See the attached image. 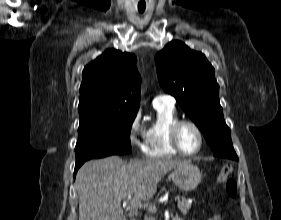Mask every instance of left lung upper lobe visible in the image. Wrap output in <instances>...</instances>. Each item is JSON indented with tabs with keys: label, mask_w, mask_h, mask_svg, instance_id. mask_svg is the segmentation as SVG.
<instances>
[{
	"label": "left lung upper lobe",
	"mask_w": 281,
	"mask_h": 220,
	"mask_svg": "<svg viewBox=\"0 0 281 220\" xmlns=\"http://www.w3.org/2000/svg\"><path fill=\"white\" fill-rule=\"evenodd\" d=\"M155 63L161 87L199 127L213 155L238 160L224 121L215 70L205 55L176 40L156 54Z\"/></svg>",
	"instance_id": "1"
}]
</instances>
